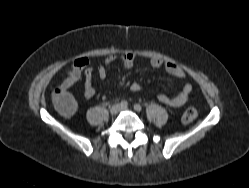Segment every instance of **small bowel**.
<instances>
[{
  "label": "small bowel",
  "instance_id": "1",
  "mask_svg": "<svg viewBox=\"0 0 249 188\" xmlns=\"http://www.w3.org/2000/svg\"><path fill=\"white\" fill-rule=\"evenodd\" d=\"M115 62H120L124 68H132L136 62V55L133 53H123L121 55H109L105 59V65H110ZM150 65L154 68L163 67L165 71L172 77L184 78V70L171 62H164L157 57H151L149 59ZM105 65H100L96 68V73L99 78L104 79L107 76V69ZM94 69L90 66L88 58L82 57L77 59L72 65L67 77L58 86L65 90H69L72 85L80 79L82 75L85 76L84 84V97L86 99H92L95 95V88L92 83V77ZM132 91H139L140 85L136 82L131 84ZM192 86L190 83L183 85L181 91L176 96H168L165 94L158 95V100L170 107L179 108L185 105L190 97Z\"/></svg>",
  "mask_w": 249,
  "mask_h": 188
}]
</instances>
